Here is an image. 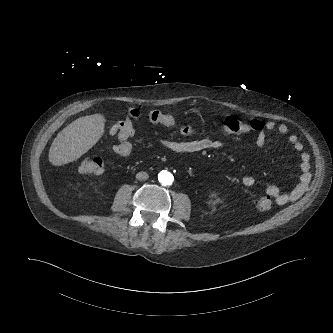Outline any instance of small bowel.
<instances>
[{
	"instance_id": "small-bowel-1",
	"label": "small bowel",
	"mask_w": 333,
	"mask_h": 333,
	"mask_svg": "<svg viewBox=\"0 0 333 333\" xmlns=\"http://www.w3.org/2000/svg\"><path fill=\"white\" fill-rule=\"evenodd\" d=\"M219 132L230 135V141H240L242 140V136L233 135L237 133H232L223 125ZM275 132L281 135H285L288 133V127L282 123H276L274 121H268L264 127L259 130L253 147L255 149H261L264 147L267 141V133ZM196 133L204 134L207 133L205 129H197ZM110 135L115 136L118 139L117 144L114 146V151L122 156H128L132 151L131 143L129 142V136H123L118 131V123L113 126L110 130ZM288 141L293 147V149L299 154V162L300 169L302 175V181L298 183V185L290 191L284 192L281 191L277 186L270 185L265 189L266 196L272 198L276 201L277 204L283 205L297 200L304 190V181L308 177L309 169H310V156L308 153L303 151V144L299 140V138L295 134H290L288 136ZM157 145L161 148L174 152V153H193L202 150H219L224 147L225 142L219 139H211V138H201L197 140H189V141H175L167 138H157ZM241 182L246 187H252L256 184V179L252 175H244L241 178Z\"/></svg>"
}]
</instances>
